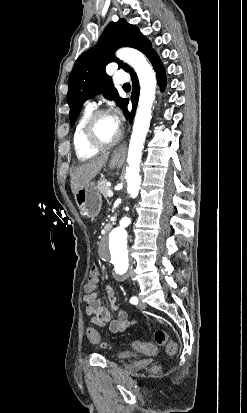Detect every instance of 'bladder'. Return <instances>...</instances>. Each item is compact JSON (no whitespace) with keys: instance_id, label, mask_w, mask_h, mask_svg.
Returning a JSON list of instances; mask_svg holds the SVG:
<instances>
[{"instance_id":"31cf9c89","label":"bladder","mask_w":247,"mask_h":413,"mask_svg":"<svg viewBox=\"0 0 247 413\" xmlns=\"http://www.w3.org/2000/svg\"><path fill=\"white\" fill-rule=\"evenodd\" d=\"M135 352H128V351H122V352H117V357L118 358H130L134 355Z\"/></svg>"}]
</instances>
